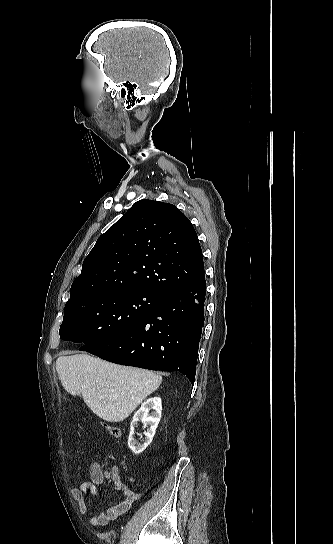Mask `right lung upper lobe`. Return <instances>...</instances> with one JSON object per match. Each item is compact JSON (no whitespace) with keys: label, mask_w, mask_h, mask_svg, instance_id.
<instances>
[{"label":"right lung upper lobe","mask_w":333,"mask_h":544,"mask_svg":"<svg viewBox=\"0 0 333 544\" xmlns=\"http://www.w3.org/2000/svg\"><path fill=\"white\" fill-rule=\"evenodd\" d=\"M204 276L202 250L189 219L172 204L140 200L98 238L67 303L104 292L162 297Z\"/></svg>","instance_id":"obj_1"}]
</instances>
